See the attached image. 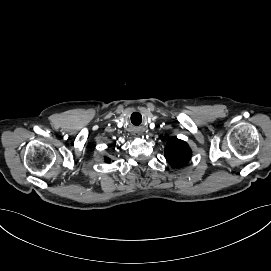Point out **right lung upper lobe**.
Instances as JSON below:
<instances>
[{
    "label": "right lung upper lobe",
    "mask_w": 271,
    "mask_h": 271,
    "mask_svg": "<svg viewBox=\"0 0 271 271\" xmlns=\"http://www.w3.org/2000/svg\"><path fill=\"white\" fill-rule=\"evenodd\" d=\"M105 161H106L107 163H110V162H111V159H109L108 157H105Z\"/></svg>",
    "instance_id": "obj_1"
}]
</instances>
